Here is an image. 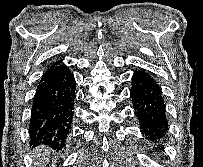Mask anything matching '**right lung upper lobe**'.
Listing matches in <instances>:
<instances>
[{"label": "right lung upper lobe", "instance_id": "right-lung-upper-lobe-1", "mask_svg": "<svg viewBox=\"0 0 203 167\" xmlns=\"http://www.w3.org/2000/svg\"><path fill=\"white\" fill-rule=\"evenodd\" d=\"M59 66H55V63L49 68V70L45 73V74H48V73H50V72H52V71H54L55 69H57ZM44 74V75H45Z\"/></svg>", "mask_w": 203, "mask_h": 167}]
</instances>
